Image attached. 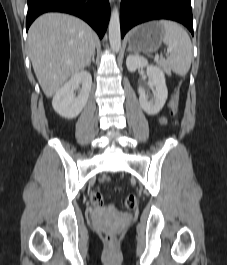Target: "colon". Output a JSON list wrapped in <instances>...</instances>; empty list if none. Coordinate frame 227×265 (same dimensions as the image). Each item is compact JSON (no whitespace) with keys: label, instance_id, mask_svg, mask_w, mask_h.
<instances>
[{"label":"colon","instance_id":"1","mask_svg":"<svg viewBox=\"0 0 227 265\" xmlns=\"http://www.w3.org/2000/svg\"><path fill=\"white\" fill-rule=\"evenodd\" d=\"M169 107L172 115H176L178 113V107H179V87H176L173 91V94L171 96ZM101 182L104 184H107L110 182V177L108 176H102ZM90 201L94 206H101L103 204V195L99 189H93L90 193ZM137 205V200L134 195L127 196L122 203L123 209L126 211H131L135 209ZM105 242L113 246L116 242V238L113 234H106L104 236Z\"/></svg>","mask_w":227,"mask_h":265}]
</instances>
